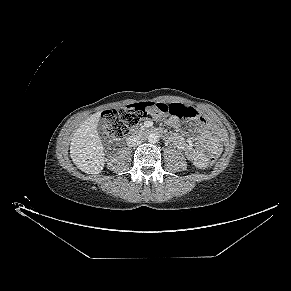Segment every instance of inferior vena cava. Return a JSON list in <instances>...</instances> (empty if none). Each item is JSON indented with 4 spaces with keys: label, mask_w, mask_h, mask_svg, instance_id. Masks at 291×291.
<instances>
[{
    "label": "inferior vena cava",
    "mask_w": 291,
    "mask_h": 291,
    "mask_svg": "<svg viewBox=\"0 0 291 291\" xmlns=\"http://www.w3.org/2000/svg\"><path fill=\"white\" fill-rule=\"evenodd\" d=\"M126 143L129 147H135L140 145L142 143V140L140 137L133 135L127 139Z\"/></svg>",
    "instance_id": "inferior-vena-cava-1"
}]
</instances>
